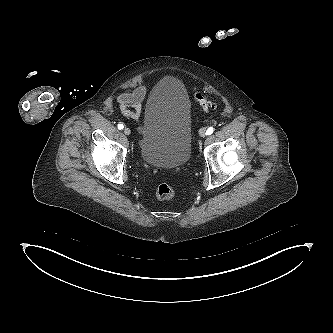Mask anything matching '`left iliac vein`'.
<instances>
[{
    "mask_svg": "<svg viewBox=\"0 0 333 333\" xmlns=\"http://www.w3.org/2000/svg\"><path fill=\"white\" fill-rule=\"evenodd\" d=\"M199 135H200L201 137H205V136H206V130H205V128H201V129L199 130Z\"/></svg>",
    "mask_w": 333,
    "mask_h": 333,
    "instance_id": "obj_1",
    "label": "left iliac vein"
}]
</instances>
